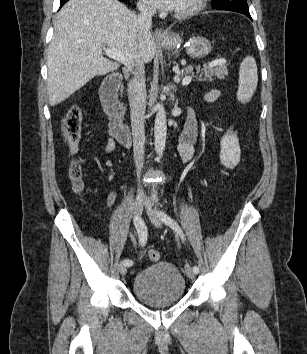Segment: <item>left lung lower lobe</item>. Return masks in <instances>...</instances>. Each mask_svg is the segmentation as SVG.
I'll return each instance as SVG.
<instances>
[{
    "mask_svg": "<svg viewBox=\"0 0 307 354\" xmlns=\"http://www.w3.org/2000/svg\"><path fill=\"white\" fill-rule=\"evenodd\" d=\"M217 9L239 12V13H242V14L246 15L247 17H249L252 20V18L250 16V13H249V10L233 9V8H217Z\"/></svg>",
    "mask_w": 307,
    "mask_h": 354,
    "instance_id": "obj_1",
    "label": "left lung lower lobe"
}]
</instances>
